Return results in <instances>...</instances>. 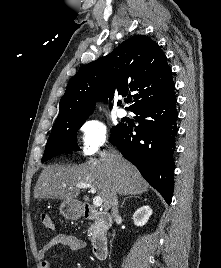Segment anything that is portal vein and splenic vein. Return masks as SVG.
Listing matches in <instances>:
<instances>
[{
  "instance_id": "portal-vein-and-splenic-vein-1",
  "label": "portal vein and splenic vein",
  "mask_w": 221,
  "mask_h": 268,
  "mask_svg": "<svg viewBox=\"0 0 221 268\" xmlns=\"http://www.w3.org/2000/svg\"><path fill=\"white\" fill-rule=\"evenodd\" d=\"M76 188H80V189H90V192L91 193H95L96 192V189L94 186L88 184V183H77L75 185ZM103 203V200H102V197L100 196H95L94 199H93V204L95 207H100Z\"/></svg>"
}]
</instances>
